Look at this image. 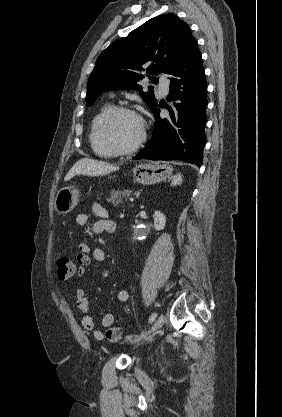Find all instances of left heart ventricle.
I'll return each instance as SVG.
<instances>
[{"instance_id":"1","label":"left heart ventricle","mask_w":282,"mask_h":417,"mask_svg":"<svg viewBox=\"0 0 282 417\" xmlns=\"http://www.w3.org/2000/svg\"><path fill=\"white\" fill-rule=\"evenodd\" d=\"M140 133L139 120L131 115L118 116L110 127L111 141L117 146L134 143L139 138Z\"/></svg>"}]
</instances>
